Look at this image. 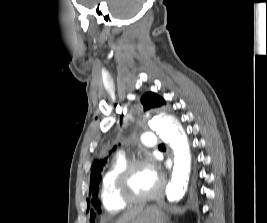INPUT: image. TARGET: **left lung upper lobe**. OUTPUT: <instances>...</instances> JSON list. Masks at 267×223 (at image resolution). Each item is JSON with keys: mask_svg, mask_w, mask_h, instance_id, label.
I'll list each match as a JSON object with an SVG mask.
<instances>
[{"mask_svg": "<svg viewBox=\"0 0 267 223\" xmlns=\"http://www.w3.org/2000/svg\"><path fill=\"white\" fill-rule=\"evenodd\" d=\"M141 103L144 106V111L158 108L166 104L165 100L153 93L147 92L141 98ZM114 149V148H113ZM107 159L95 160L92 165V173L90 177V199H87V208L86 214H105V209L102 208V203H99L97 200L98 192H99V182L101 180V172L103 167L105 166Z\"/></svg>", "mask_w": 267, "mask_h": 223, "instance_id": "left-lung-upper-lobe-1", "label": "left lung upper lobe"}]
</instances>
